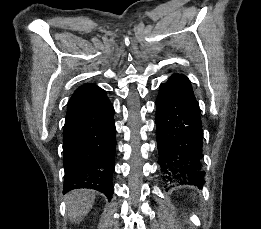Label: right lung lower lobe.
Listing matches in <instances>:
<instances>
[{
    "instance_id": "right-lung-lower-lobe-1",
    "label": "right lung lower lobe",
    "mask_w": 261,
    "mask_h": 229,
    "mask_svg": "<svg viewBox=\"0 0 261 229\" xmlns=\"http://www.w3.org/2000/svg\"><path fill=\"white\" fill-rule=\"evenodd\" d=\"M114 108L103 89L85 84L69 100L63 131V192L92 189L111 200L116 147Z\"/></svg>"
}]
</instances>
